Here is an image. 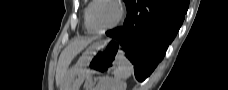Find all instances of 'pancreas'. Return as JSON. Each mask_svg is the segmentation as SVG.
<instances>
[{
  "mask_svg": "<svg viewBox=\"0 0 228 90\" xmlns=\"http://www.w3.org/2000/svg\"><path fill=\"white\" fill-rule=\"evenodd\" d=\"M97 79L88 77L85 81L84 88L85 90H92Z\"/></svg>",
  "mask_w": 228,
  "mask_h": 90,
  "instance_id": "cf45deb5",
  "label": "pancreas"
}]
</instances>
